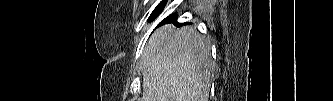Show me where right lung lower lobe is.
<instances>
[{"label": "right lung lower lobe", "instance_id": "1", "mask_svg": "<svg viewBox=\"0 0 333 101\" xmlns=\"http://www.w3.org/2000/svg\"><path fill=\"white\" fill-rule=\"evenodd\" d=\"M165 4H166V0H163L162 2H160L157 5V7L153 10V12L151 13L148 21H153L162 12ZM167 23H174L176 25H180L179 23H177V14H172V15L168 16L167 18L162 20L157 27H159L163 24H167Z\"/></svg>", "mask_w": 333, "mask_h": 101}]
</instances>
